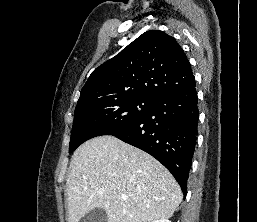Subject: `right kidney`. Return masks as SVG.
Instances as JSON below:
<instances>
[{
  "instance_id": "obj_1",
  "label": "right kidney",
  "mask_w": 257,
  "mask_h": 222,
  "mask_svg": "<svg viewBox=\"0 0 257 222\" xmlns=\"http://www.w3.org/2000/svg\"><path fill=\"white\" fill-rule=\"evenodd\" d=\"M152 222H171L168 219H159V220H154Z\"/></svg>"
}]
</instances>
